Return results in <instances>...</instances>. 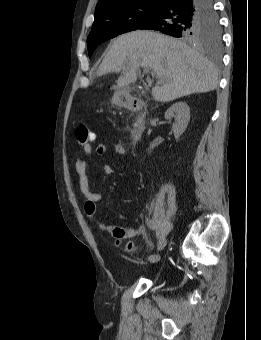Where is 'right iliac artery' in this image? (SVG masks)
Here are the masks:
<instances>
[{"mask_svg":"<svg viewBox=\"0 0 261 340\" xmlns=\"http://www.w3.org/2000/svg\"><path fill=\"white\" fill-rule=\"evenodd\" d=\"M146 223H147V225H148V227L150 229H152V230H156L157 229V227H156V225H155L153 220L146 218ZM159 259H160V256L158 254H152V255H150L148 257V261L151 264L157 263L159 261Z\"/></svg>","mask_w":261,"mask_h":340,"instance_id":"right-iliac-artery-1","label":"right iliac artery"}]
</instances>
